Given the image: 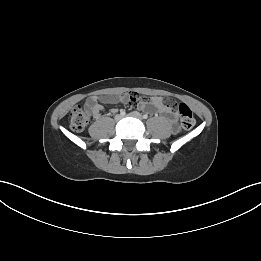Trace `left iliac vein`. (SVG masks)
Instances as JSON below:
<instances>
[{"instance_id": "4c4485c4", "label": "left iliac vein", "mask_w": 261, "mask_h": 261, "mask_svg": "<svg viewBox=\"0 0 261 261\" xmlns=\"http://www.w3.org/2000/svg\"><path fill=\"white\" fill-rule=\"evenodd\" d=\"M128 117H133V118H136V119H142V116L139 112H131L127 115Z\"/></svg>"}]
</instances>
